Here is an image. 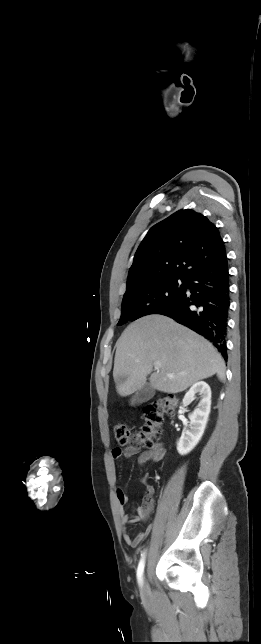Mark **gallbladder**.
Returning a JSON list of instances; mask_svg holds the SVG:
<instances>
[{
	"mask_svg": "<svg viewBox=\"0 0 261 644\" xmlns=\"http://www.w3.org/2000/svg\"><path fill=\"white\" fill-rule=\"evenodd\" d=\"M155 395V390L150 384H145L130 400V405L135 406L150 400Z\"/></svg>",
	"mask_w": 261,
	"mask_h": 644,
	"instance_id": "1",
	"label": "gallbladder"
}]
</instances>
